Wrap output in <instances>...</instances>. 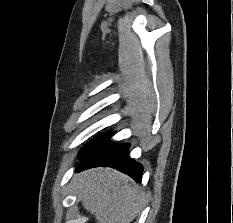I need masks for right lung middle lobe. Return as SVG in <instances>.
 Instances as JSON below:
<instances>
[{"label":"right lung middle lobe","instance_id":"dd1d6c3e","mask_svg":"<svg viewBox=\"0 0 233 223\" xmlns=\"http://www.w3.org/2000/svg\"><path fill=\"white\" fill-rule=\"evenodd\" d=\"M98 142L97 141H92V142H89L88 144H86L81 150H80V154L83 156L85 155L86 153H88L95 145L96 143Z\"/></svg>","mask_w":233,"mask_h":223}]
</instances>
